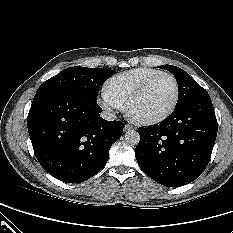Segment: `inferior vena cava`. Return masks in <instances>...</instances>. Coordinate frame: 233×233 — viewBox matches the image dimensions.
<instances>
[{
  "mask_svg": "<svg viewBox=\"0 0 233 233\" xmlns=\"http://www.w3.org/2000/svg\"><path fill=\"white\" fill-rule=\"evenodd\" d=\"M100 116L105 119V120H115L116 119V116L111 113L110 111H103Z\"/></svg>",
  "mask_w": 233,
  "mask_h": 233,
  "instance_id": "602c4592",
  "label": "inferior vena cava"
}]
</instances>
